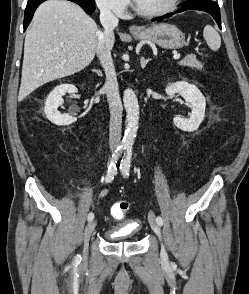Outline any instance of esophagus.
Here are the masks:
<instances>
[{
  "label": "esophagus",
  "mask_w": 249,
  "mask_h": 294,
  "mask_svg": "<svg viewBox=\"0 0 249 294\" xmlns=\"http://www.w3.org/2000/svg\"><path fill=\"white\" fill-rule=\"evenodd\" d=\"M140 31H141V28L138 27L137 25H132V26L130 27V32H131V33H138V32H140Z\"/></svg>",
  "instance_id": "obj_1"
}]
</instances>
